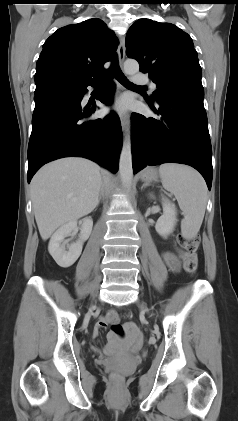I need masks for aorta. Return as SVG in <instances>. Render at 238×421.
I'll return each mask as SVG.
<instances>
[{"instance_id":"obj_1","label":"aorta","mask_w":238,"mask_h":421,"mask_svg":"<svg viewBox=\"0 0 238 421\" xmlns=\"http://www.w3.org/2000/svg\"><path fill=\"white\" fill-rule=\"evenodd\" d=\"M139 71V64L134 59H127L124 63V72L127 75H133ZM119 171L122 184L125 188L129 189L132 185L133 168H132V152L130 137L126 138L119 160Z\"/></svg>"}]
</instances>
